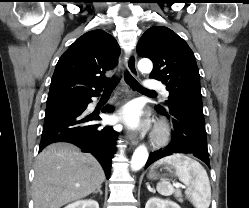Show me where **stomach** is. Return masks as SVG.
<instances>
[{
    "label": "stomach",
    "mask_w": 249,
    "mask_h": 208,
    "mask_svg": "<svg viewBox=\"0 0 249 208\" xmlns=\"http://www.w3.org/2000/svg\"><path fill=\"white\" fill-rule=\"evenodd\" d=\"M148 177L150 179H155L157 177V175L154 172H151V173H149Z\"/></svg>",
    "instance_id": "stomach-1"
}]
</instances>
